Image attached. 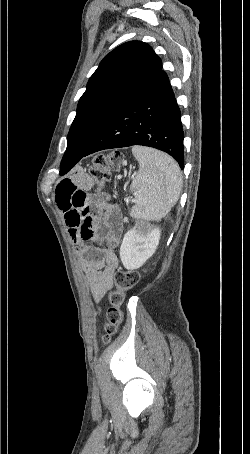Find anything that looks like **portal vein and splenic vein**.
<instances>
[{
  "label": "portal vein and splenic vein",
  "instance_id": "portal-vein-and-splenic-vein-1",
  "mask_svg": "<svg viewBox=\"0 0 250 454\" xmlns=\"http://www.w3.org/2000/svg\"><path fill=\"white\" fill-rule=\"evenodd\" d=\"M132 202H136V199H132Z\"/></svg>",
  "mask_w": 250,
  "mask_h": 454
}]
</instances>
